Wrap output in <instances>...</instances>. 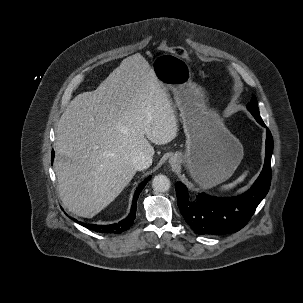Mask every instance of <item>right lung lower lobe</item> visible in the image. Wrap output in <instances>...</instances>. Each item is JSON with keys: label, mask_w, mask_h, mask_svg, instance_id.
Instances as JSON below:
<instances>
[{"label": "right lung lower lobe", "mask_w": 303, "mask_h": 303, "mask_svg": "<svg viewBox=\"0 0 303 303\" xmlns=\"http://www.w3.org/2000/svg\"><path fill=\"white\" fill-rule=\"evenodd\" d=\"M52 162L54 158V151H52ZM151 176L146 178L137 188L135 195L133 197V202H132V207L130 214L128 215L127 218L124 220L120 221L119 223L111 224V225H94V224H85L82 222L77 221L76 219H73L75 222H77L80 225L85 226L88 229H91L93 231L99 232V233H115L119 234L123 231L128 230L132 225L136 217V203H137V198L146 185V183L150 180Z\"/></svg>", "instance_id": "obj_1"}]
</instances>
